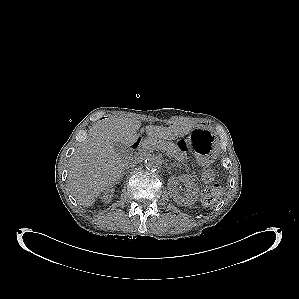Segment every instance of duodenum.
I'll return each instance as SVG.
<instances>
[{
	"mask_svg": "<svg viewBox=\"0 0 299 299\" xmlns=\"http://www.w3.org/2000/svg\"><path fill=\"white\" fill-rule=\"evenodd\" d=\"M141 142H142V138H141V137H138V138L132 143V145H131V149H132L133 151H136V150L138 149V147L140 146Z\"/></svg>",
	"mask_w": 299,
	"mask_h": 299,
	"instance_id": "410a0bca",
	"label": "duodenum"
}]
</instances>
